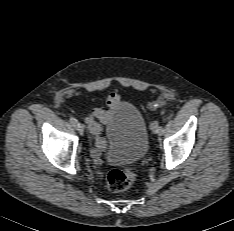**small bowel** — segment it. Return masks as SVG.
I'll list each match as a JSON object with an SVG mask.
<instances>
[{"label":"small bowel","mask_w":234,"mask_h":231,"mask_svg":"<svg viewBox=\"0 0 234 231\" xmlns=\"http://www.w3.org/2000/svg\"><path fill=\"white\" fill-rule=\"evenodd\" d=\"M119 99V93L112 92L108 96L106 107H96L90 114L85 116L88 133L94 142L91 155L96 164L102 162V150L106 145L105 140L101 137L102 126L107 125L110 122L111 114L119 103Z\"/></svg>","instance_id":"c3829d8e"}]
</instances>
